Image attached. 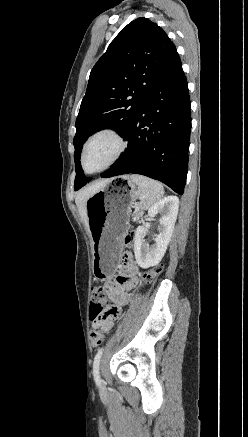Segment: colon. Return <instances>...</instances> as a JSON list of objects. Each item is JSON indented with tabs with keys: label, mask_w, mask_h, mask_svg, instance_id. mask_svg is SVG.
Segmentation results:
<instances>
[{
	"label": "colon",
	"mask_w": 248,
	"mask_h": 437,
	"mask_svg": "<svg viewBox=\"0 0 248 437\" xmlns=\"http://www.w3.org/2000/svg\"><path fill=\"white\" fill-rule=\"evenodd\" d=\"M133 240V235L128 233L124 238V244L130 246ZM162 271L161 266H157L143 274V280L149 284ZM106 292L101 286L94 287L91 294V305L89 310V318L93 324L90 332V341L93 346H98L104 339V334L100 329V322L110 313L113 308L106 305Z\"/></svg>",
	"instance_id": "5ec220e1"
}]
</instances>
